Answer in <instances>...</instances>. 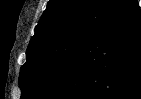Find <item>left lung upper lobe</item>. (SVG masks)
<instances>
[{"mask_svg": "<svg viewBox=\"0 0 141 99\" xmlns=\"http://www.w3.org/2000/svg\"><path fill=\"white\" fill-rule=\"evenodd\" d=\"M122 0H50L21 67V99H38Z\"/></svg>", "mask_w": 141, "mask_h": 99, "instance_id": "left-lung-upper-lobe-1", "label": "left lung upper lobe"}]
</instances>
